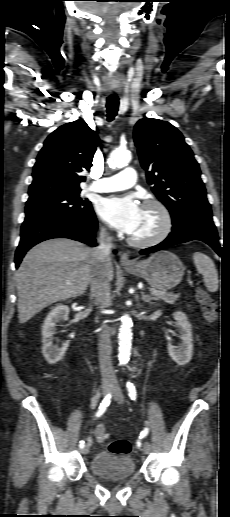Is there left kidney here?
Returning a JSON list of instances; mask_svg holds the SVG:
<instances>
[{"mask_svg":"<svg viewBox=\"0 0 230 517\" xmlns=\"http://www.w3.org/2000/svg\"><path fill=\"white\" fill-rule=\"evenodd\" d=\"M176 320V328L179 331L182 343L178 347L168 344V353L172 360L179 366L186 365L192 358L193 343H192V326L189 323L185 313L177 311L173 314Z\"/></svg>","mask_w":230,"mask_h":517,"instance_id":"5707ae66","label":"left kidney"}]
</instances>
